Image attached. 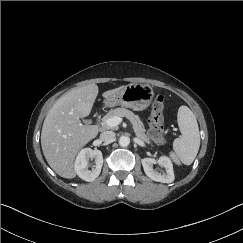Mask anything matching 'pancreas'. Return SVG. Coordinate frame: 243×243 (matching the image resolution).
Listing matches in <instances>:
<instances>
[{"label":"pancreas","instance_id":"cf45deb5","mask_svg":"<svg viewBox=\"0 0 243 243\" xmlns=\"http://www.w3.org/2000/svg\"><path fill=\"white\" fill-rule=\"evenodd\" d=\"M114 116L126 117L127 119H129L133 125V129H134L136 136L148 144L151 143L150 139L145 134L146 130L144 128L143 122L140 120L138 115H135L133 112H131L130 110L125 109V108H116V109L110 110L103 118V124L106 128H112V127L107 126L105 124V120L108 118L114 117Z\"/></svg>","mask_w":243,"mask_h":243}]
</instances>
